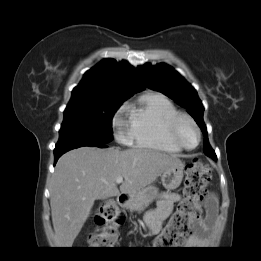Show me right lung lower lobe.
I'll use <instances>...</instances> for the list:
<instances>
[{"mask_svg": "<svg viewBox=\"0 0 261 261\" xmlns=\"http://www.w3.org/2000/svg\"><path fill=\"white\" fill-rule=\"evenodd\" d=\"M83 146H91V147H99V148H104L106 147L105 144L103 143H81V144H75V145H70V146H63V147H55L54 149V157H55V163L59 159V157L64 154L65 152L72 150L74 148H79Z\"/></svg>", "mask_w": 261, "mask_h": 261, "instance_id": "right-lung-lower-lobe-1", "label": "right lung lower lobe"}]
</instances>
